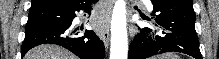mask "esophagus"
I'll use <instances>...</instances> for the list:
<instances>
[{"label": "esophagus", "instance_id": "esophagus-1", "mask_svg": "<svg viewBox=\"0 0 219 59\" xmlns=\"http://www.w3.org/2000/svg\"><path fill=\"white\" fill-rule=\"evenodd\" d=\"M104 3V7L111 8L114 0H106ZM109 27H110V14H108L107 19L104 21L102 27L97 29V34L99 35L100 39L104 42L106 48H108L109 44Z\"/></svg>", "mask_w": 219, "mask_h": 59}]
</instances>
